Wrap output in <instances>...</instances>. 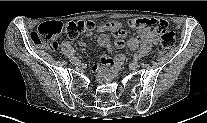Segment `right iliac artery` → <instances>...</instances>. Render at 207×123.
<instances>
[{
    "instance_id": "82829eb1",
    "label": "right iliac artery",
    "mask_w": 207,
    "mask_h": 123,
    "mask_svg": "<svg viewBox=\"0 0 207 123\" xmlns=\"http://www.w3.org/2000/svg\"><path fill=\"white\" fill-rule=\"evenodd\" d=\"M76 60H78L77 57H72V58L70 59V61H71L72 63L75 62Z\"/></svg>"
}]
</instances>
